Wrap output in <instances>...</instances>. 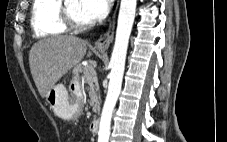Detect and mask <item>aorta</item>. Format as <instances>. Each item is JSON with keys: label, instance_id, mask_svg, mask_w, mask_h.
I'll return each mask as SVG.
<instances>
[{"label": "aorta", "instance_id": "762f6f07", "mask_svg": "<svg viewBox=\"0 0 227 142\" xmlns=\"http://www.w3.org/2000/svg\"><path fill=\"white\" fill-rule=\"evenodd\" d=\"M137 0H121L115 44L110 60V80L99 124L98 142H108L114 107L121 91L129 37Z\"/></svg>", "mask_w": 227, "mask_h": 142}]
</instances>
